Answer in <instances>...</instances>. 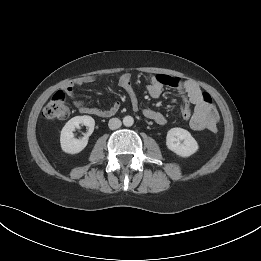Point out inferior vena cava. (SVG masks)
Masks as SVG:
<instances>
[{"label": "inferior vena cava", "mask_w": 261, "mask_h": 261, "mask_svg": "<svg viewBox=\"0 0 261 261\" xmlns=\"http://www.w3.org/2000/svg\"><path fill=\"white\" fill-rule=\"evenodd\" d=\"M122 123L118 118H112L109 120L108 126L111 130L118 129L121 127Z\"/></svg>", "instance_id": "1"}]
</instances>
